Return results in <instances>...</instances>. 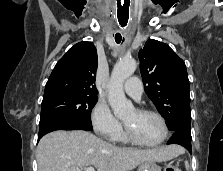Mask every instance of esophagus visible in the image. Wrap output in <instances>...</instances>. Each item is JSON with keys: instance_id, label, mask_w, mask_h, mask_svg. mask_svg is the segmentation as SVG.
<instances>
[{"instance_id": "obj_1", "label": "esophagus", "mask_w": 223, "mask_h": 171, "mask_svg": "<svg viewBox=\"0 0 223 171\" xmlns=\"http://www.w3.org/2000/svg\"><path fill=\"white\" fill-rule=\"evenodd\" d=\"M116 17L118 18V22H120L119 28L127 29L128 28L127 22H129V14L127 13V9L125 13H117Z\"/></svg>"}]
</instances>
